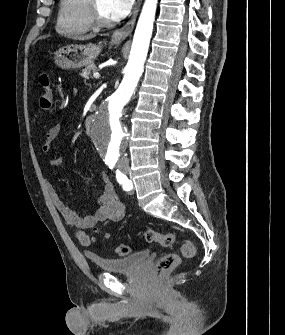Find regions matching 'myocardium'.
Instances as JSON below:
<instances>
[{
	"label": "myocardium",
	"mask_w": 285,
	"mask_h": 335,
	"mask_svg": "<svg viewBox=\"0 0 285 335\" xmlns=\"http://www.w3.org/2000/svg\"><path fill=\"white\" fill-rule=\"evenodd\" d=\"M91 2H92L91 19L93 28L108 29L112 27L113 22L107 20L102 14L100 2L99 1H91Z\"/></svg>",
	"instance_id": "obj_1"
}]
</instances>
